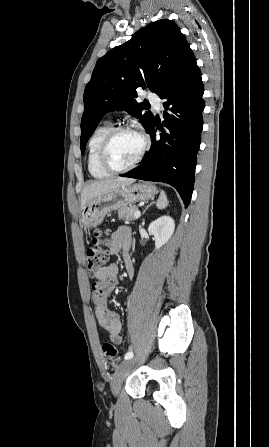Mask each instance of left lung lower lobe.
I'll return each mask as SVG.
<instances>
[{
	"mask_svg": "<svg viewBox=\"0 0 269 447\" xmlns=\"http://www.w3.org/2000/svg\"><path fill=\"white\" fill-rule=\"evenodd\" d=\"M204 86L200 69L190 48L159 95L165 102L163 125L152 119L147 133L151 136V149L142 163L122 174L145 181L164 182L172 185L180 194L185 205L190 203L194 187L197 153L203 128ZM156 128L162 133L156 136Z\"/></svg>",
	"mask_w": 269,
	"mask_h": 447,
	"instance_id": "obj_1",
	"label": "left lung lower lobe"
}]
</instances>
